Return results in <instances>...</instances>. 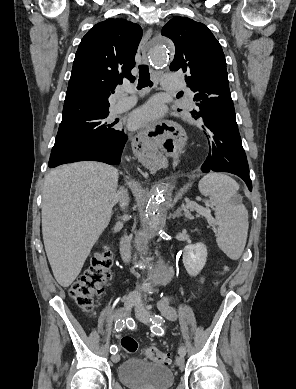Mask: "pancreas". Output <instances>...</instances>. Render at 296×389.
<instances>
[{
  "label": "pancreas",
  "mask_w": 296,
  "mask_h": 389,
  "mask_svg": "<svg viewBox=\"0 0 296 389\" xmlns=\"http://www.w3.org/2000/svg\"><path fill=\"white\" fill-rule=\"evenodd\" d=\"M193 210H196L198 212L199 215H202V211L205 210L204 208L200 207L199 206V209H191V211ZM185 216L188 218V219H193V216L191 215V213L189 211L185 212ZM203 216V215H202Z\"/></svg>",
  "instance_id": "1"
}]
</instances>
